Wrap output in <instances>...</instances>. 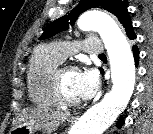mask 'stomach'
I'll return each instance as SVG.
<instances>
[{"instance_id":"1","label":"stomach","mask_w":153,"mask_h":134,"mask_svg":"<svg viewBox=\"0 0 153 134\" xmlns=\"http://www.w3.org/2000/svg\"><path fill=\"white\" fill-rule=\"evenodd\" d=\"M39 129L29 124H19L11 130V134H35Z\"/></svg>"}]
</instances>
